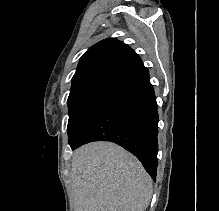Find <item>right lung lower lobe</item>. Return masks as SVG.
Returning a JSON list of instances; mask_svg holds the SVG:
<instances>
[{
    "instance_id": "obj_1",
    "label": "right lung lower lobe",
    "mask_w": 219,
    "mask_h": 211,
    "mask_svg": "<svg viewBox=\"0 0 219 211\" xmlns=\"http://www.w3.org/2000/svg\"><path fill=\"white\" fill-rule=\"evenodd\" d=\"M157 125L156 97L144 67L109 91L70 146L74 150L93 141L114 142L134 154L155 180Z\"/></svg>"
}]
</instances>
